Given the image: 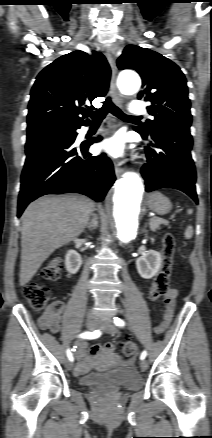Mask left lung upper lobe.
<instances>
[{"instance_id":"5c2ea615","label":"left lung upper lobe","mask_w":212,"mask_h":438,"mask_svg":"<svg viewBox=\"0 0 212 438\" xmlns=\"http://www.w3.org/2000/svg\"><path fill=\"white\" fill-rule=\"evenodd\" d=\"M117 65L120 70L134 69L141 75L144 90L138 98L145 95V100L152 103L147 109L155 119L137 130L148 135L155 128H190L192 115L186 79L175 63L150 49L128 45Z\"/></svg>"}]
</instances>
